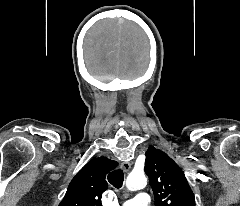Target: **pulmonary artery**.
Here are the masks:
<instances>
[{
	"instance_id": "obj_1",
	"label": "pulmonary artery",
	"mask_w": 240,
	"mask_h": 206,
	"mask_svg": "<svg viewBox=\"0 0 240 206\" xmlns=\"http://www.w3.org/2000/svg\"><path fill=\"white\" fill-rule=\"evenodd\" d=\"M122 206H149V195L140 192L134 198L125 201Z\"/></svg>"
}]
</instances>
